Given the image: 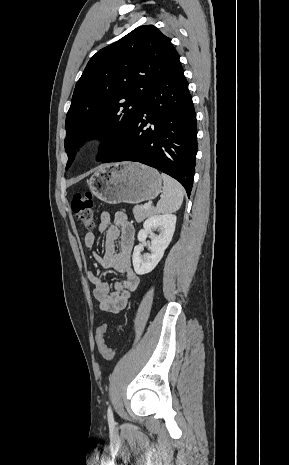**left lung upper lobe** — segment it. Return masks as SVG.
Here are the masks:
<instances>
[{"instance_id": "1", "label": "left lung upper lobe", "mask_w": 289, "mask_h": 465, "mask_svg": "<svg viewBox=\"0 0 289 465\" xmlns=\"http://www.w3.org/2000/svg\"><path fill=\"white\" fill-rule=\"evenodd\" d=\"M180 66L171 40L153 25L137 27L92 56L66 116V168L87 138L104 140L99 160L114 151L137 118L143 96Z\"/></svg>"}]
</instances>
